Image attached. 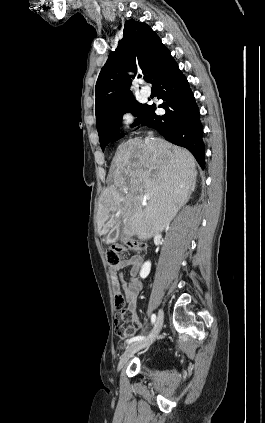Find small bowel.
Segmentation results:
<instances>
[{"mask_svg": "<svg viewBox=\"0 0 265 423\" xmlns=\"http://www.w3.org/2000/svg\"><path fill=\"white\" fill-rule=\"evenodd\" d=\"M142 266V257L140 255H132L119 262V264L110 268V274L113 280V290L116 294L120 293L118 279L123 277V270L129 268L130 279L122 282L124 290V298L128 302V311L132 315V331L127 333L122 338H127L135 334L139 327L140 321L137 314L138 310V296L142 290V282L137 277Z\"/></svg>", "mask_w": 265, "mask_h": 423, "instance_id": "obj_1", "label": "small bowel"}]
</instances>
